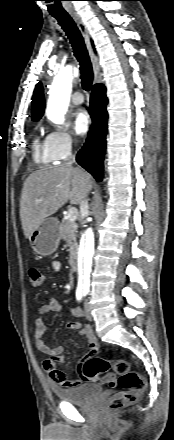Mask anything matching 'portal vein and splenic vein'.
Returning <instances> with one entry per match:
<instances>
[{"label": "portal vein and splenic vein", "mask_w": 174, "mask_h": 440, "mask_svg": "<svg viewBox=\"0 0 174 440\" xmlns=\"http://www.w3.org/2000/svg\"><path fill=\"white\" fill-rule=\"evenodd\" d=\"M78 216V210L75 207H70L68 210V220L73 222L77 219Z\"/></svg>", "instance_id": "obj_1"}]
</instances>
